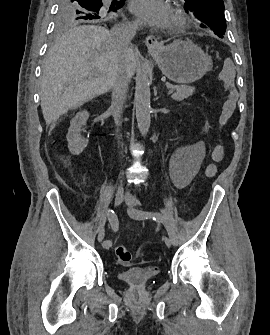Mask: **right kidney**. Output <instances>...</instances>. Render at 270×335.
I'll return each mask as SVG.
<instances>
[{
  "label": "right kidney",
  "instance_id": "right-kidney-1",
  "mask_svg": "<svg viewBox=\"0 0 270 335\" xmlns=\"http://www.w3.org/2000/svg\"><path fill=\"white\" fill-rule=\"evenodd\" d=\"M89 118V112L83 110V112H77L75 118H72L70 122V128L66 136L68 142L69 152L74 156H79L86 148L88 144L87 138H82L80 132H86L83 126H86V122Z\"/></svg>",
  "mask_w": 270,
  "mask_h": 335
}]
</instances>
